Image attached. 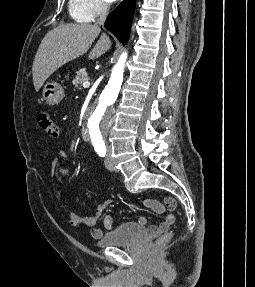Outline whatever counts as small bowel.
I'll use <instances>...</instances> for the list:
<instances>
[{"label": "small bowel", "instance_id": "c3829d8e", "mask_svg": "<svg viewBox=\"0 0 255 287\" xmlns=\"http://www.w3.org/2000/svg\"><path fill=\"white\" fill-rule=\"evenodd\" d=\"M58 155L61 157H66L67 153L65 151H60ZM141 203L144 206L152 209L156 213L165 214V219L159 225L149 226V232L154 235L167 232L172 226V224L175 222V216L172 213L176 205L175 200L169 197L164 200V203H161L154 199H143L141 200ZM113 205L114 202L112 201L104 202L96 208L94 214L92 215H84L70 212V222L74 227L78 229H82L85 227L91 228L92 237L97 239L103 233L102 229L96 227L101 217H103L104 230H110L113 227V220L111 216L109 214H105L106 210ZM137 223L141 226H146L148 223V219L146 216H140L138 217Z\"/></svg>", "mask_w": 255, "mask_h": 287}]
</instances>
